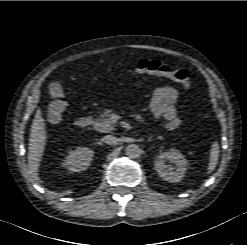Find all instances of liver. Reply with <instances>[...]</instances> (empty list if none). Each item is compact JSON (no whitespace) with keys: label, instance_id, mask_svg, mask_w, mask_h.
I'll return each mask as SVG.
<instances>
[{"label":"liver","instance_id":"liver-1","mask_svg":"<svg viewBox=\"0 0 247 245\" xmlns=\"http://www.w3.org/2000/svg\"><path fill=\"white\" fill-rule=\"evenodd\" d=\"M46 140L47 134L44 119L41 116V111L38 110L30 128L28 169L32 178L39 183L41 180L38 176V170L46 146Z\"/></svg>","mask_w":247,"mask_h":245}]
</instances>
